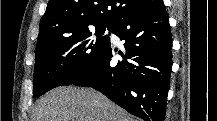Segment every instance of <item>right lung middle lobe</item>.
Here are the masks:
<instances>
[{
	"mask_svg": "<svg viewBox=\"0 0 217 121\" xmlns=\"http://www.w3.org/2000/svg\"><path fill=\"white\" fill-rule=\"evenodd\" d=\"M54 42L36 48L33 96L61 85H71L85 74L103 55L110 44L106 30L114 31V24H94Z\"/></svg>",
	"mask_w": 217,
	"mask_h": 121,
	"instance_id": "1",
	"label": "right lung middle lobe"
}]
</instances>
